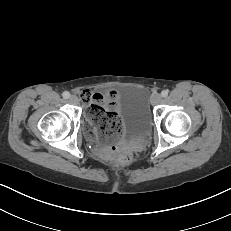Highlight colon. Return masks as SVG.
Returning a JSON list of instances; mask_svg holds the SVG:
<instances>
[{"label": "colon", "instance_id": "1", "mask_svg": "<svg viewBox=\"0 0 231 231\" xmlns=\"http://www.w3.org/2000/svg\"><path fill=\"white\" fill-rule=\"evenodd\" d=\"M83 102L88 105V119L97 127L102 138L113 137L120 131L122 120L118 113L106 111L98 102L92 100L90 95H84ZM109 150L118 163L125 164L129 161L128 154L121 147L114 145Z\"/></svg>", "mask_w": 231, "mask_h": 231}]
</instances>
